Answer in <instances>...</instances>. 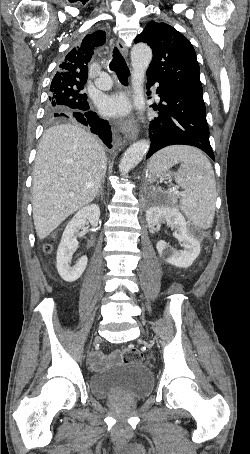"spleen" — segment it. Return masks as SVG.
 Returning <instances> with one entry per match:
<instances>
[{"label":"spleen","mask_w":250,"mask_h":454,"mask_svg":"<svg viewBox=\"0 0 250 454\" xmlns=\"http://www.w3.org/2000/svg\"><path fill=\"white\" fill-rule=\"evenodd\" d=\"M177 163H181V168L175 181L185 190L180 199V208L195 226L203 230L209 229L214 220L217 196L212 165L200 150L174 145L162 149L152 157L149 171L152 176H159Z\"/></svg>","instance_id":"spleen-1"}]
</instances>
